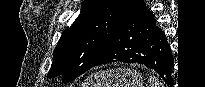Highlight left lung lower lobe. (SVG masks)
Masks as SVG:
<instances>
[{
  "instance_id": "1",
  "label": "left lung lower lobe",
  "mask_w": 205,
  "mask_h": 87,
  "mask_svg": "<svg viewBox=\"0 0 205 87\" xmlns=\"http://www.w3.org/2000/svg\"><path fill=\"white\" fill-rule=\"evenodd\" d=\"M113 62L143 64L172 83L173 56L164 32L143 0L133 5L93 67Z\"/></svg>"
}]
</instances>
